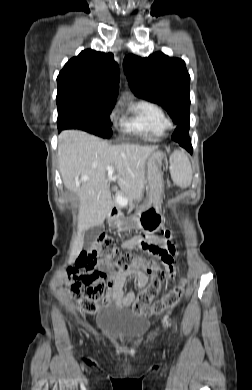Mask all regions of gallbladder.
Wrapping results in <instances>:
<instances>
[{
  "mask_svg": "<svg viewBox=\"0 0 252 390\" xmlns=\"http://www.w3.org/2000/svg\"><path fill=\"white\" fill-rule=\"evenodd\" d=\"M103 229H104V225L101 224V225H97V226L91 227L88 230H86L85 240H84L85 244L88 245L92 240H94L100 234V232Z\"/></svg>",
  "mask_w": 252,
  "mask_h": 390,
  "instance_id": "gallbladder-1",
  "label": "gallbladder"
}]
</instances>
